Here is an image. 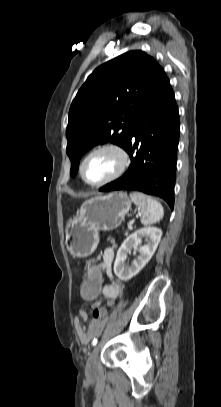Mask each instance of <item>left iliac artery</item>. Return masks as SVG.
<instances>
[{"instance_id":"1","label":"left iliac artery","mask_w":221,"mask_h":407,"mask_svg":"<svg viewBox=\"0 0 221 407\" xmlns=\"http://www.w3.org/2000/svg\"><path fill=\"white\" fill-rule=\"evenodd\" d=\"M97 342H98V339L95 338V339L92 341V345L95 346V345L97 344Z\"/></svg>"}]
</instances>
